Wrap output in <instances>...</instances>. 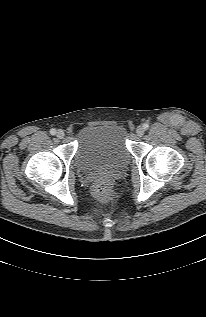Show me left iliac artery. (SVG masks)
<instances>
[{
	"mask_svg": "<svg viewBox=\"0 0 206 317\" xmlns=\"http://www.w3.org/2000/svg\"><path fill=\"white\" fill-rule=\"evenodd\" d=\"M143 128H144V129H148V128H149V124H148V123H144V124H143Z\"/></svg>",
	"mask_w": 206,
	"mask_h": 317,
	"instance_id": "obj_1",
	"label": "left iliac artery"
}]
</instances>
